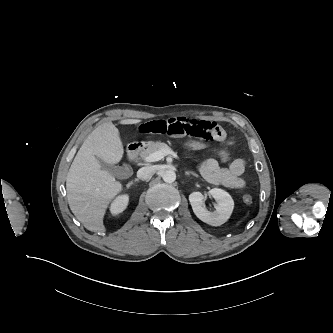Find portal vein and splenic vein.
Segmentation results:
<instances>
[{
    "mask_svg": "<svg viewBox=\"0 0 333 333\" xmlns=\"http://www.w3.org/2000/svg\"><path fill=\"white\" fill-rule=\"evenodd\" d=\"M167 155H172L175 158L178 157L177 153L171 149H161L145 157L144 161L147 163L156 162L163 159Z\"/></svg>",
    "mask_w": 333,
    "mask_h": 333,
    "instance_id": "1",
    "label": "portal vein and splenic vein"
}]
</instances>
